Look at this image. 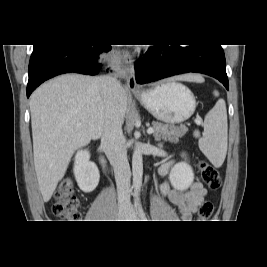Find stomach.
<instances>
[{
  "label": "stomach",
  "mask_w": 267,
  "mask_h": 267,
  "mask_svg": "<svg viewBox=\"0 0 267 267\" xmlns=\"http://www.w3.org/2000/svg\"><path fill=\"white\" fill-rule=\"evenodd\" d=\"M135 95L156 119L169 124L187 120L196 108L193 93L183 84L171 80Z\"/></svg>",
  "instance_id": "obj_1"
}]
</instances>
